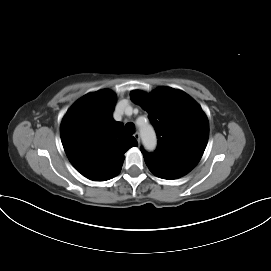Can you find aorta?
Here are the masks:
<instances>
[{"label": "aorta", "instance_id": "obj_1", "mask_svg": "<svg viewBox=\"0 0 271 271\" xmlns=\"http://www.w3.org/2000/svg\"><path fill=\"white\" fill-rule=\"evenodd\" d=\"M141 138L144 147L147 150H154L157 144L156 134L150 125H145L140 128Z\"/></svg>", "mask_w": 271, "mask_h": 271}]
</instances>
